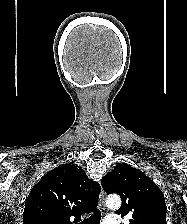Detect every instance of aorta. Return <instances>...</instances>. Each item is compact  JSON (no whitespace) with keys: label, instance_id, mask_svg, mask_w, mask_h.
Returning a JSON list of instances; mask_svg holds the SVG:
<instances>
[{"label":"aorta","instance_id":"obj_1","mask_svg":"<svg viewBox=\"0 0 187 224\" xmlns=\"http://www.w3.org/2000/svg\"><path fill=\"white\" fill-rule=\"evenodd\" d=\"M106 205L108 208H110L112 210H116L121 206V200L116 195L109 196L106 199Z\"/></svg>","mask_w":187,"mask_h":224}]
</instances>
